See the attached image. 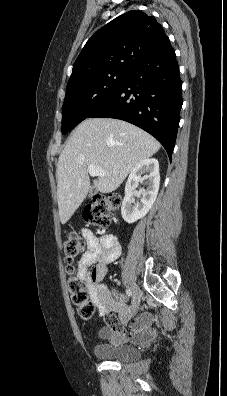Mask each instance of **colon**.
Listing matches in <instances>:
<instances>
[{"label": "colon", "mask_w": 227, "mask_h": 396, "mask_svg": "<svg viewBox=\"0 0 227 396\" xmlns=\"http://www.w3.org/2000/svg\"><path fill=\"white\" fill-rule=\"evenodd\" d=\"M121 199L117 195L95 196L93 202L84 211L87 223L104 229L112 219L113 212L119 207ZM86 249L85 240L76 233L67 235L63 242V250L66 261V271L69 275L68 290L73 304L77 307V313L82 320H90L95 311V305L89 300L84 282L74 276L75 259Z\"/></svg>", "instance_id": "5ec220e1"}]
</instances>
